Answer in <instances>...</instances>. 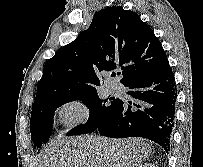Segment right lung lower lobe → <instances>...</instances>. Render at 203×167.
I'll return each instance as SVG.
<instances>
[{"label": "right lung lower lobe", "mask_w": 203, "mask_h": 167, "mask_svg": "<svg viewBox=\"0 0 203 167\" xmlns=\"http://www.w3.org/2000/svg\"><path fill=\"white\" fill-rule=\"evenodd\" d=\"M124 86L135 102L118 99L114 109L97 127L112 138L144 137L168 153L174 127L176 84L168 61L160 68L127 81Z\"/></svg>", "instance_id": "1"}]
</instances>
